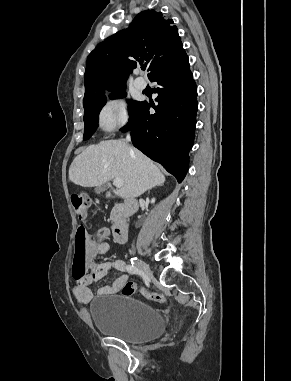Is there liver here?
<instances>
[{"label":"liver","mask_w":291,"mask_h":381,"mask_svg":"<svg viewBox=\"0 0 291 381\" xmlns=\"http://www.w3.org/2000/svg\"><path fill=\"white\" fill-rule=\"evenodd\" d=\"M115 178L122 179L123 186L113 192L125 199L136 198L165 181L151 159L122 140L87 147L69 168V180L83 187H99Z\"/></svg>","instance_id":"obj_1"}]
</instances>
